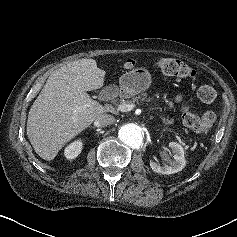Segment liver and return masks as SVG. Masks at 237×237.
<instances>
[{"label": "liver", "mask_w": 237, "mask_h": 237, "mask_svg": "<svg viewBox=\"0 0 237 237\" xmlns=\"http://www.w3.org/2000/svg\"><path fill=\"white\" fill-rule=\"evenodd\" d=\"M104 80L105 71L94 59H80L52 72L27 119L28 139L42 159L53 160L66 143L106 112L87 94L101 88Z\"/></svg>", "instance_id": "obj_1"}]
</instances>
